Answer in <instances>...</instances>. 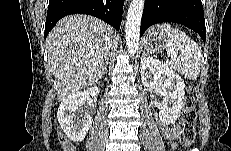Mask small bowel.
<instances>
[{
  "label": "small bowel",
  "instance_id": "c3829d8e",
  "mask_svg": "<svg viewBox=\"0 0 231 151\" xmlns=\"http://www.w3.org/2000/svg\"><path fill=\"white\" fill-rule=\"evenodd\" d=\"M161 132L163 136L169 141H175L180 135V128L178 126L168 127L166 125L161 126Z\"/></svg>",
  "mask_w": 231,
  "mask_h": 151
}]
</instances>
